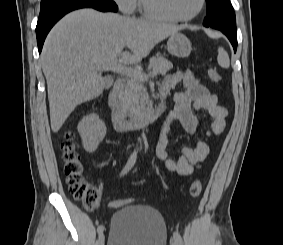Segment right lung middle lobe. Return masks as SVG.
Listing matches in <instances>:
<instances>
[{"label": "right lung middle lobe", "mask_w": 283, "mask_h": 245, "mask_svg": "<svg viewBox=\"0 0 283 245\" xmlns=\"http://www.w3.org/2000/svg\"><path fill=\"white\" fill-rule=\"evenodd\" d=\"M72 0H41L40 10Z\"/></svg>", "instance_id": "dd1d6c3e"}]
</instances>
